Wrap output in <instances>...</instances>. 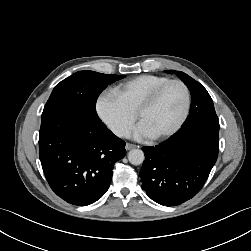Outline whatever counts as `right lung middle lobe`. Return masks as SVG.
<instances>
[{
	"label": "right lung middle lobe",
	"mask_w": 251,
	"mask_h": 251,
	"mask_svg": "<svg viewBox=\"0 0 251 251\" xmlns=\"http://www.w3.org/2000/svg\"><path fill=\"white\" fill-rule=\"evenodd\" d=\"M124 77L88 70L76 72L55 86L43 113L62 107H78L96 113V101L100 93Z\"/></svg>",
	"instance_id": "right-lung-middle-lobe-1"
}]
</instances>
